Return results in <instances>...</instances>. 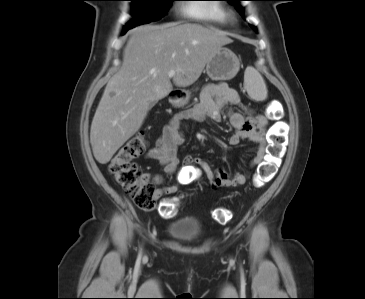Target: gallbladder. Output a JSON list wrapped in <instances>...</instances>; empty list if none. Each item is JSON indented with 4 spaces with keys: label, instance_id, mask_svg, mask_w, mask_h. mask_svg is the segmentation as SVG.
<instances>
[{
    "label": "gallbladder",
    "instance_id": "bac80fb5",
    "mask_svg": "<svg viewBox=\"0 0 365 299\" xmlns=\"http://www.w3.org/2000/svg\"><path fill=\"white\" fill-rule=\"evenodd\" d=\"M155 104H156V102H152V103L150 104V108H152Z\"/></svg>",
    "mask_w": 365,
    "mask_h": 299
}]
</instances>
